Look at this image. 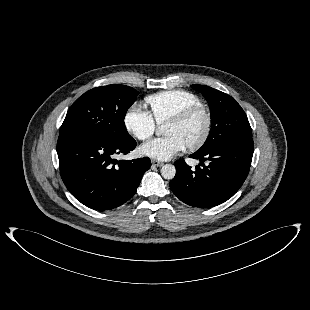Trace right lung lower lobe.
Instances as JSON below:
<instances>
[{"mask_svg":"<svg viewBox=\"0 0 310 310\" xmlns=\"http://www.w3.org/2000/svg\"><path fill=\"white\" fill-rule=\"evenodd\" d=\"M135 147L132 137L116 142L81 133L59 135L57 153L62 180L85 206L95 210L116 208L135 194L143 174L151 166L148 157L114 159Z\"/></svg>","mask_w":310,"mask_h":310,"instance_id":"right-lung-lower-lobe-1","label":"right lung lower lobe"}]
</instances>
